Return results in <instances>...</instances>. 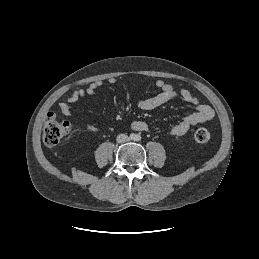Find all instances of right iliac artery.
<instances>
[{"label": "right iliac artery", "mask_w": 259, "mask_h": 259, "mask_svg": "<svg viewBox=\"0 0 259 259\" xmlns=\"http://www.w3.org/2000/svg\"><path fill=\"white\" fill-rule=\"evenodd\" d=\"M130 138H131V139H135V134H131V135H130Z\"/></svg>", "instance_id": "obj_1"}]
</instances>
